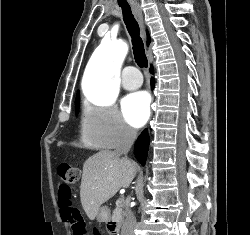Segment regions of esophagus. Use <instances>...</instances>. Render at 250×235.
<instances>
[{
	"instance_id": "obj_1",
	"label": "esophagus",
	"mask_w": 250,
	"mask_h": 235,
	"mask_svg": "<svg viewBox=\"0 0 250 235\" xmlns=\"http://www.w3.org/2000/svg\"><path fill=\"white\" fill-rule=\"evenodd\" d=\"M133 11L139 21L141 30H142V35L145 37V25H144V20H143V13L141 10V7L137 4L133 6Z\"/></svg>"
}]
</instances>
